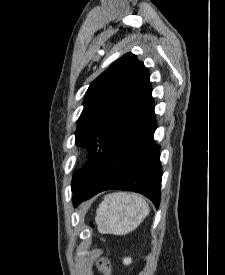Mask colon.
<instances>
[{
	"mask_svg": "<svg viewBox=\"0 0 225 275\" xmlns=\"http://www.w3.org/2000/svg\"><path fill=\"white\" fill-rule=\"evenodd\" d=\"M98 270L102 275L111 274V265L106 258H101L97 264Z\"/></svg>",
	"mask_w": 225,
	"mask_h": 275,
	"instance_id": "1",
	"label": "colon"
}]
</instances>
